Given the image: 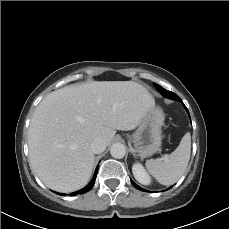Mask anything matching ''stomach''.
Wrapping results in <instances>:
<instances>
[{"label":"stomach","mask_w":229,"mask_h":229,"mask_svg":"<svg viewBox=\"0 0 229 229\" xmlns=\"http://www.w3.org/2000/svg\"><path fill=\"white\" fill-rule=\"evenodd\" d=\"M164 118L162 109L154 106L145 113L137 130L130 136L134 150L141 158L150 157L160 149Z\"/></svg>","instance_id":"1"}]
</instances>
